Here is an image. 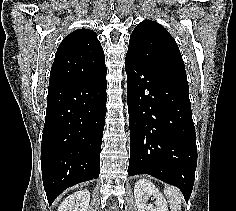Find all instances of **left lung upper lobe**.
<instances>
[{
    "instance_id": "5c2ea615",
    "label": "left lung upper lobe",
    "mask_w": 236,
    "mask_h": 211,
    "mask_svg": "<svg viewBox=\"0 0 236 211\" xmlns=\"http://www.w3.org/2000/svg\"><path fill=\"white\" fill-rule=\"evenodd\" d=\"M126 58L187 82L183 59L174 38L154 21L144 20L135 27Z\"/></svg>"
}]
</instances>
